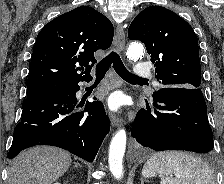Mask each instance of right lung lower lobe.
I'll use <instances>...</instances> for the list:
<instances>
[{
  "instance_id": "98d812e1",
  "label": "right lung lower lobe",
  "mask_w": 224,
  "mask_h": 184,
  "mask_svg": "<svg viewBox=\"0 0 224 184\" xmlns=\"http://www.w3.org/2000/svg\"><path fill=\"white\" fill-rule=\"evenodd\" d=\"M79 82L63 83L27 96L21 121L14 129L9 159L32 146L51 145L93 162L110 130V121L100 101L87 102L84 111L73 113L78 107L75 94Z\"/></svg>"
}]
</instances>
